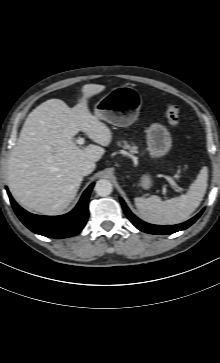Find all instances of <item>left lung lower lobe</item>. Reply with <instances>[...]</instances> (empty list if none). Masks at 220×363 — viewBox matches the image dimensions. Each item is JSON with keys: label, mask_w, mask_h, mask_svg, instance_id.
I'll list each match as a JSON object with an SVG mask.
<instances>
[{"label": "left lung lower lobe", "mask_w": 220, "mask_h": 363, "mask_svg": "<svg viewBox=\"0 0 220 363\" xmlns=\"http://www.w3.org/2000/svg\"><path fill=\"white\" fill-rule=\"evenodd\" d=\"M121 200V204L123 206L124 212L127 215V217L129 218V220L133 223V225L138 228L139 230L146 232V233H150V234H172L175 233L177 231L180 230H184L187 227H189L190 225H192L202 214L203 210L197 214L195 217H193L192 219L178 224V225H172V226H159V225H152V224H148L142 220H140L139 218H137L126 206L125 202L123 201V199Z\"/></svg>", "instance_id": "0a47b994"}]
</instances>
